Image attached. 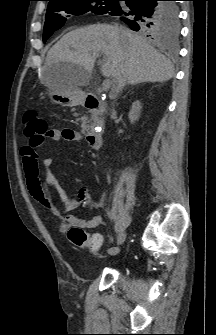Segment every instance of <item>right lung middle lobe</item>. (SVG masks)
<instances>
[{
  "label": "right lung middle lobe",
  "instance_id": "dd1d6c3e",
  "mask_svg": "<svg viewBox=\"0 0 216 335\" xmlns=\"http://www.w3.org/2000/svg\"><path fill=\"white\" fill-rule=\"evenodd\" d=\"M119 2L120 0H60L51 2L48 4L45 18L43 42L45 43L54 31L64 25L66 17H69L70 15H81L87 12L107 14L111 12ZM169 6L177 7L175 2H170ZM62 12H65L67 15H64ZM178 31L179 26L176 25L174 29L165 30L159 35L176 36Z\"/></svg>",
  "mask_w": 216,
  "mask_h": 335
}]
</instances>
